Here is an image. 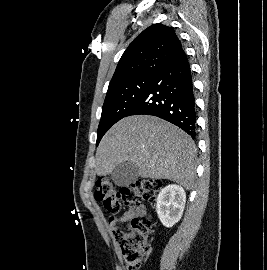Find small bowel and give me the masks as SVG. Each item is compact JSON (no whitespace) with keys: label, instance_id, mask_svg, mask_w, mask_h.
<instances>
[{"label":"small bowel","instance_id":"c3829d8e","mask_svg":"<svg viewBox=\"0 0 267 270\" xmlns=\"http://www.w3.org/2000/svg\"><path fill=\"white\" fill-rule=\"evenodd\" d=\"M144 213V207H131L126 210L121 216L111 217L108 221L109 228L113 233H117L119 231L120 224H130L133 219L141 217Z\"/></svg>","mask_w":267,"mask_h":270}]
</instances>
